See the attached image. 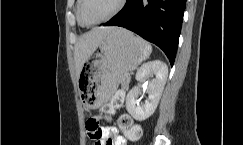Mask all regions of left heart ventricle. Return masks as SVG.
I'll list each match as a JSON object with an SVG mask.
<instances>
[{
  "label": "left heart ventricle",
  "instance_id": "b2bd125f",
  "mask_svg": "<svg viewBox=\"0 0 243 145\" xmlns=\"http://www.w3.org/2000/svg\"><path fill=\"white\" fill-rule=\"evenodd\" d=\"M120 0H85L83 15L87 23H96L109 14L118 6Z\"/></svg>",
  "mask_w": 243,
  "mask_h": 145
}]
</instances>
